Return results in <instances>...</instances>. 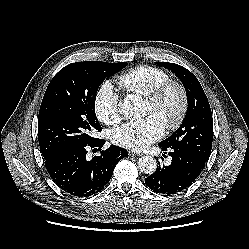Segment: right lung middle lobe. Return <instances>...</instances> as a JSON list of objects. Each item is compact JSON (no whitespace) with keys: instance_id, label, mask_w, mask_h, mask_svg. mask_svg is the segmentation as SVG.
<instances>
[{"instance_id":"right-lung-middle-lobe-1","label":"right lung middle lobe","mask_w":249,"mask_h":249,"mask_svg":"<svg viewBox=\"0 0 249 249\" xmlns=\"http://www.w3.org/2000/svg\"><path fill=\"white\" fill-rule=\"evenodd\" d=\"M126 65V62H75L52 78L38 116V139L45 159L97 139L92 133L102 128L95 114L96 93L105 78Z\"/></svg>"}]
</instances>
